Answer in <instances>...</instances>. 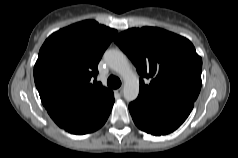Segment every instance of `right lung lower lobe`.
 <instances>
[{
	"mask_svg": "<svg viewBox=\"0 0 238 158\" xmlns=\"http://www.w3.org/2000/svg\"><path fill=\"white\" fill-rule=\"evenodd\" d=\"M114 96L103 102L56 103L45 106L50 117L64 130L73 134H86L96 131L106 122Z\"/></svg>",
	"mask_w": 238,
	"mask_h": 158,
	"instance_id": "98d812e1",
	"label": "right lung lower lobe"
}]
</instances>
